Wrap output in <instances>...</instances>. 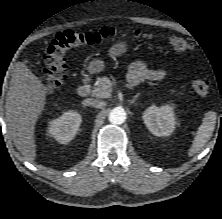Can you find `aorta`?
Segmentation results:
<instances>
[{"label": "aorta", "instance_id": "aorta-1", "mask_svg": "<svg viewBox=\"0 0 222 219\" xmlns=\"http://www.w3.org/2000/svg\"><path fill=\"white\" fill-rule=\"evenodd\" d=\"M108 119L111 124L120 125L126 120V112L121 107H116L110 111Z\"/></svg>", "mask_w": 222, "mask_h": 219}]
</instances>
